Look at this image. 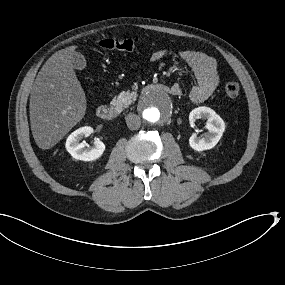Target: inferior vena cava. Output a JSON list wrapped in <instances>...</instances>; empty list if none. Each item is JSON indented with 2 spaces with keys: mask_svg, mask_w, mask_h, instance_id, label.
<instances>
[{
  "mask_svg": "<svg viewBox=\"0 0 285 285\" xmlns=\"http://www.w3.org/2000/svg\"><path fill=\"white\" fill-rule=\"evenodd\" d=\"M126 124L130 130H136L141 125L140 117L136 114H128L126 117Z\"/></svg>",
  "mask_w": 285,
  "mask_h": 285,
  "instance_id": "inferior-vena-cava-1",
  "label": "inferior vena cava"
}]
</instances>
